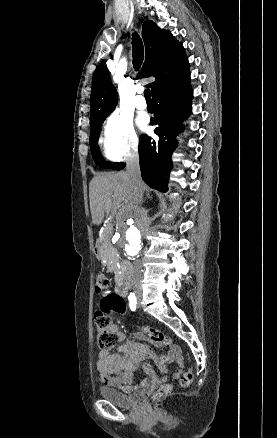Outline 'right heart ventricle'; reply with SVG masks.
Wrapping results in <instances>:
<instances>
[{
    "label": "right heart ventricle",
    "mask_w": 277,
    "mask_h": 438,
    "mask_svg": "<svg viewBox=\"0 0 277 438\" xmlns=\"http://www.w3.org/2000/svg\"><path fill=\"white\" fill-rule=\"evenodd\" d=\"M105 153L106 156L111 159V160H115L117 159L119 156L115 153L113 147L108 143V141L106 140L105 142Z\"/></svg>",
    "instance_id": "1"
}]
</instances>
